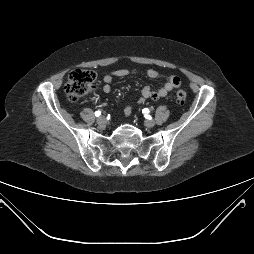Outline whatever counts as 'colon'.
Returning <instances> with one entry per match:
<instances>
[{
	"label": "colon",
	"instance_id": "5ec220e1",
	"mask_svg": "<svg viewBox=\"0 0 254 254\" xmlns=\"http://www.w3.org/2000/svg\"><path fill=\"white\" fill-rule=\"evenodd\" d=\"M96 87V75L90 70H75L68 76L65 84V93L72 103L77 102L83 95ZM187 94L184 90H178L176 99L185 101Z\"/></svg>",
	"mask_w": 254,
	"mask_h": 254
}]
</instances>
